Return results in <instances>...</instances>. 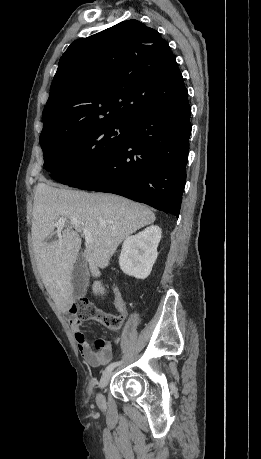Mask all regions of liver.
Masks as SVG:
<instances>
[{"label":"liver","mask_w":261,"mask_h":459,"mask_svg":"<svg viewBox=\"0 0 261 459\" xmlns=\"http://www.w3.org/2000/svg\"><path fill=\"white\" fill-rule=\"evenodd\" d=\"M32 215L37 268L50 296L63 311L73 303L72 271L84 228L92 233L84 254L92 276L99 277V268L108 266L119 244L156 219L148 207L122 196L56 188L43 182L35 188ZM62 217L67 219L64 227L55 230ZM93 293L104 294L101 282H94Z\"/></svg>","instance_id":"obj_1"}]
</instances>
